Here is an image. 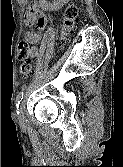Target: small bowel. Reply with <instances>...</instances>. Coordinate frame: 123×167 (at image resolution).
I'll use <instances>...</instances> for the list:
<instances>
[{
    "instance_id": "small-bowel-1",
    "label": "small bowel",
    "mask_w": 123,
    "mask_h": 167,
    "mask_svg": "<svg viewBox=\"0 0 123 167\" xmlns=\"http://www.w3.org/2000/svg\"><path fill=\"white\" fill-rule=\"evenodd\" d=\"M59 2H65L66 0H58ZM56 8V7H53ZM45 11L41 4L33 3L30 6L29 11L25 14L24 21L28 25L36 24V29L28 31L24 35L26 42L32 46L30 48L29 57L40 58L43 53V47L40 45V41L44 36L45 27Z\"/></svg>"
}]
</instances>
